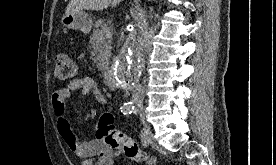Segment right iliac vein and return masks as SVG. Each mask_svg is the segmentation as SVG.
<instances>
[{"mask_svg":"<svg viewBox=\"0 0 276 165\" xmlns=\"http://www.w3.org/2000/svg\"><path fill=\"white\" fill-rule=\"evenodd\" d=\"M150 135L149 128H147V137Z\"/></svg>","mask_w":276,"mask_h":165,"instance_id":"obj_1","label":"right iliac vein"}]
</instances>
